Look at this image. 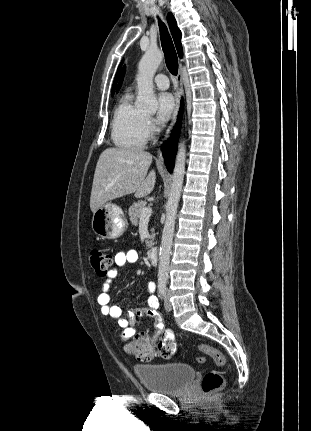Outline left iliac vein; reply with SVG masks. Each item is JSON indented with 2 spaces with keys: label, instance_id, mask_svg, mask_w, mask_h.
<instances>
[{
  "label": "left iliac vein",
  "instance_id": "obj_1",
  "mask_svg": "<svg viewBox=\"0 0 311 431\" xmlns=\"http://www.w3.org/2000/svg\"><path fill=\"white\" fill-rule=\"evenodd\" d=\"M164 306H165V309L167 311H171L172 310V305H171V302L169 301V291L168 290L165 291Z\"/></svg>",
  "mask_w": 311,
  "mask_h": 431
}]
</instances>
